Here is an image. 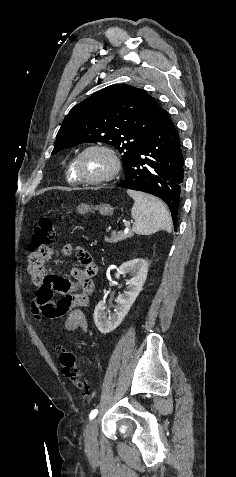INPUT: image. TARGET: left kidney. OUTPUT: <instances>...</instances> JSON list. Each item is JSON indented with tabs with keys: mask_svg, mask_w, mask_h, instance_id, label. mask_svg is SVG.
Masks as SVG:
<instances>
[{
	"mask_svg": "<svg viewBox=\"0 0 236 477\" xmlns=\"http://www.w3.org/2000/svg\"><path fill=\"white\" fill-rule=\"evenodd\" d=\"M148 263L146 260L136 258L123 263L115 274L116 278L120 275L130 274L131 278L127 282V291L119 295L116 299L114 313L107 317L105 313L106 302L100 301L94 311V322L102 334H107L116 329L127 315L132 304L142 290L148 273Z\"/></svg>",
	"mask_w": 236,
	"mask_h": 477,
	"instance_id": "5707ae66",
	"label": "left kidney"
}]
</instances>
